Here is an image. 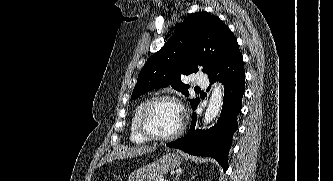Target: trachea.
<instances>
[{
	"label": "trachea",
	"mask_w": 333,
	"mask_h": 181,
	"mask_svg": "<svg viewBox=\"0 0 333 181\" xmlns=\"http://www.w3.org/2000/svg\"><path fill=\"white\" fill-rule=\"evenodd\" d=\"M195 89H197V90H198V89H200V88H199V87H196Z\"/></svg>",
	"instance_id": "1"
}]
</instances>
